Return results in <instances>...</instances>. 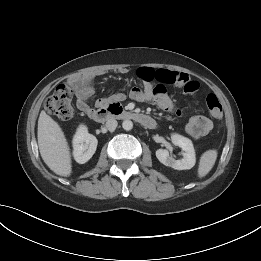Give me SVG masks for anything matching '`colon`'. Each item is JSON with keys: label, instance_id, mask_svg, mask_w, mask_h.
Instances as JSON below:
<instances>
[{"label": "colon", "instance_id": "1", "mask_svg": "<svg viewBox=\"0 0 261 261\" xmlns=\"http://www.w3.org/2000/svg\"><path fill=\"white\" fill-rule=\"evenodd\" d=\"M71 101V89L67 85L61 84L55 89L53 95L48 98L45 108L50 114L57 116L59 119L68 120L74 114ZM206 104L212 118L218 120L222 117V106L216 95L209 94L206 97Z\"/></svg>", "mask_w": 261, "mask_h": 261}]
</instances>
